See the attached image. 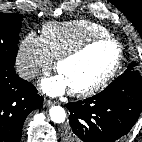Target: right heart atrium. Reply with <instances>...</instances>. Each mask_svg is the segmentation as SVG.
Listing matches in <instances>:
<instances>
[{"label":"right heart atrium","instance_id":"right-heart-atrium-1","mask_svg":"<svg viewBox=\"0 0 142 142\" xmlns=\"http://www.w3.org/2000/svg\"><path fill=\"white\" fill-rule=\"evenodd\" d=\"M52 65V57L45 49L41 38L29 33L20 42L16 66L20 76L25 80L34 78L40 70H48Z\"/></svg>","mask_w":142,"mask_h":142}]
</instances>
